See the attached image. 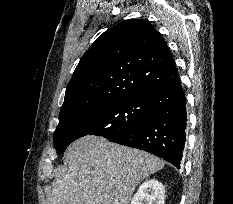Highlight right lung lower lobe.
<instances>
[{"label": "right lung lower lobe", "instance_id": "right-lung-lower-lobe-1", "mask_svg": "<svg viewBox=\"0 0 233 204\" xmlns=\"http://www.w3.org/2000/svg\"><path fill=\"white\" fill-rule=\"evenodd\" d=\"M152 116L131 131L122 132L112 142L157 155L180 168L186 141V97L176 76L150 95Z\"/></svg>", "mask_w": 233, "mask_h": 204}]
</instances>
